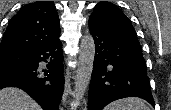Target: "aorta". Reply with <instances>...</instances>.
Returning <instances> with one entry per match:
<instances>
[{
    "mask_svg": "<svg viewBox=\"0 0 171 110\" xmlns=\"http://www.w3.org/2000/svg\"><path fill=\"white\" fill-rule=\"evenodd\" d=\"M95 57V42L91 34H86L81 40L77 74L74 86V99L79 102L90 83Z\"/></svg>",
    "mask_w": 171,
    "mask_h": 110,
    "instance_id": "762f6f07",
    "label": "aorta"
}]
</instances>
